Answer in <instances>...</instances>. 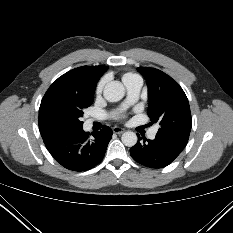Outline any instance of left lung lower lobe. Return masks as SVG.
<instances>
[{
    "label": "left lung lower lobe",
    "mask_w": 233,
    "mask_h": 233,
    "mask_svg": "<svg viewBox=\"0 0 233 233\" xmlns=\"http://www.w3.org/2000/svg\"><path fill=\"white\" fill-rule=\"evenodd\" d=\"M131 149L132 158L138 163L149 168H163L169 165L185 148L187 142L174 140L168 137L156 135L154 140L142 139Z\"/></svg>",
    "instance_id": "left-lung-lower-lobe-1"
}]
</instances>
